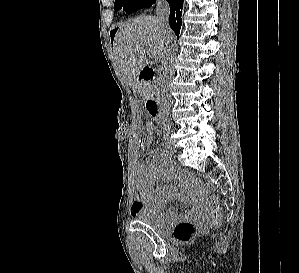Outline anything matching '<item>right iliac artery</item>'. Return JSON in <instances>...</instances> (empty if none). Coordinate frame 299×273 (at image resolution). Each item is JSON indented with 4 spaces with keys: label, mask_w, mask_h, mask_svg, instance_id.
<instances>
[{
    "label": "right iliac artery",
    "mask_w": 299,
    "mask_h": 273,
    "mask_svg": "<svg viewBox=\"0 0 299 273\" xmlns=\"http://www.w3.org/2000/svg\"><path fill=\"white\" fill-rule=\"evenodd\" d=\"M162 156L166 159V160H171V154L168 151H163L162 152Z\"/></svg>",
    "instance_id": "1"
}]
</instances>
